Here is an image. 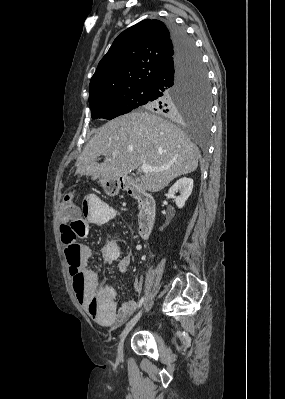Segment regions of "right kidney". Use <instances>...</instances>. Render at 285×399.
Here are the masks:
<instances>
[{
    "label": "right kidney",
    "mask_w": 285,
    "mask_h": 399,
    "mask_svg": "<svg viewBox=\"0 0 285 399\" xmlns=\"http://www.w3.org/2000/svg\"><path fill=\"white\" fill-rule=\"evenodd\" d=\"M193 189V179L183 177L174 183V185L169 189L168 193L170 195L180 192V196L175 197V203L178 208H183L185 202L189 198Z\"/></svg>",
    "instance_id": "ca27d5eb"
}]
</instances>
